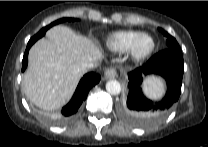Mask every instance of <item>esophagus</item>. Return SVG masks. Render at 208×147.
Masks as SVG:
<instances>
[{
  "instance_id": "obj_1",
  "label": "esophagus",
  "mask_w": 208,
  "mask_h": 147,
  "mask_svg": "<svg viewBox=\"0 0 208 147\" xmlns=\"http://www.w3.org/2000/svg\"><path fill=\"white\" fill-rule=\"evenodd\" d=\"M117 76V71L114 67L107 68L104 72V78L107 79H113Z\"/></svg>"
}]
</instances>
